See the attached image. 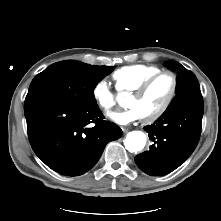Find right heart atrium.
Masks as SVG:
<instances>
[{
  "label": "right heart atrium",
  "mask_w": 221,
  "mask_h": 221,
  "mask_svg": "<svg viewBox=\"0 0 221 221\" xmlns=\"http://www.w3.org/2000/svg\"><path fill=\"white\" fill-rule=\"evenodd\" d=\"M93 98L99 108L106 114L113 109L116 97L105 80L97 82L92 90Z\"/></svg>",
  "instance_id": "obj_1"
}]
</instances>
